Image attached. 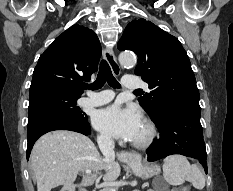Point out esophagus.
I'll list each match as a JSON object with an SVG mask.
<instances>
[{"label": "esophagus", "mask_w": 233, "mask_h": 191, "mask_svg": "<svg viewBox=\"0 0 233 191\" xmlns=\"http://www.w3.org/2000/svg\"><path fill=\"white\" fill-rule=\"evenodd\" d=\"M103 55L107 63L109 64L113 74L115 76H119L121 73V68L116 60L114 52L109 48H104ZM118 157L128 163H136L139 162L141 159V156L139 154L127 151L118 153Z\"/></svg>", "instance_id": "34e87169"}]
</instances>
